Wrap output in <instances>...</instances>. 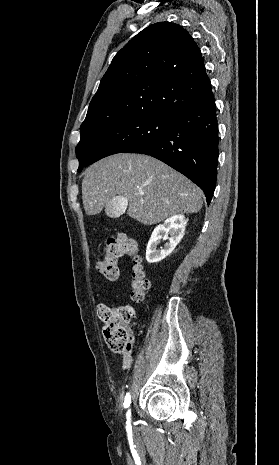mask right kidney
<instances>
[{"label": "right kidney", "instance_id": "1", "mask_svg": "<svg viewBox=\"0 0 279 465\" xmlns=\"http://www.w3.org/2000/svg\"><path fill=\"white\" fill-rule=\"evenodd\" d=\"M187 222L188 219L184 215L178 214L167 218L163 224L156 226L146 248V260L149 263H157L170 255L183 238ZM161 240H168V242L164 248L158 250L157 245Z\"/></svg>", "mask_w": 279, "mask_h": 465}]
</instances>
